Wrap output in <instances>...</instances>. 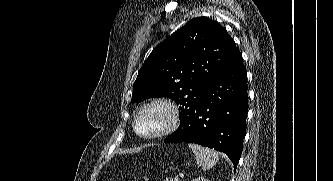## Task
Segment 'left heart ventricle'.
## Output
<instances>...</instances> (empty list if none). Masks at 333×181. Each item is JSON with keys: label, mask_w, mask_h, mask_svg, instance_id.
<instances>
[{"label": "left heart ventricle", "mask_w": 333, "mask_h": 181, "mask_svg": "<svg viewBox=\"0 0 333 181\" xmlns=\"http://www.w3.org/2000/svg\"><path fill=\"white\" fill-rule=\"evenodd\" d=\"M167 121V115L162 108L153 107L146 110L137 123L141 134H151L162 129Z\"/></svg>", "instance_id": "obj_1"}]
</instances>
